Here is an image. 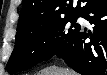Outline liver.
<instances>
[{
    "mask_svg": "<svg viewBox=\"0 0 107 75\" xmlns=\"http://www.w3.org/2000/svg\"><path fill=\"white\" fill-rule=\"evenodd\" d=\"M44 75H76L75 72L69 69L53 67L45 72Z\"/></svg>",
    "mask_w": 107,
    "mask_h": 75,
    "instance_id": "6515ba94",
    "label": "liver"
}]
</instances>
